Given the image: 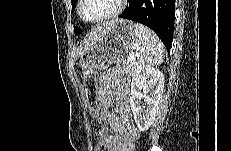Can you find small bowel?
<instances>
[{"instance_id": "c3829d8e", "label": "small bowel", "mask_w": 231, "mask_h": 151, "mask_svg": "<svg viewBox=\"0 0 231 151\" xmlns=\"http://www.w3.org/2000/svg\"><path fill=\"white\" fill-rule=\"evenodd\" d=\"M129 85V79L117 69L104 72L100 77L99 105L103 127L98 129V134L108 151H134L135 143L140 137L129 103ZM113 105L114 112L110 111Z\"/></svg>"}]
</instances>
